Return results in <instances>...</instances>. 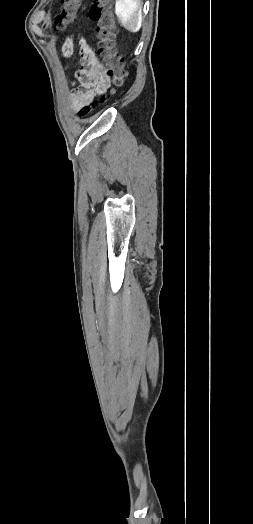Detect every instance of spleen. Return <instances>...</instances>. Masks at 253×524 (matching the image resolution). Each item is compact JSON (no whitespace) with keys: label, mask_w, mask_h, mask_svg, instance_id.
<instances>
[{"label":"spleen","mask_w":253,"mask_h":524,"mask_svg":"<svg viewBox=\"0 0 253 524\" xmlns=\"http://www.w3.org/2000/svg\"><path fill=\"white\" fill-rule=\"evenodd\" d=\"M139 0H116L115 13L121 25L130 32H137L142 25Z\"/></svg>","instance_id":"obj_1"}]
</instances>
